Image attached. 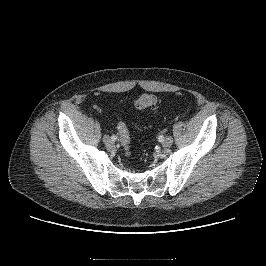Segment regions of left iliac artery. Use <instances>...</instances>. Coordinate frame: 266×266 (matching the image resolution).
Wrapping results in <instances>:
<instances>
[{"label":"left iliac artery","instance_id":"obj_1","mask_svg":"<svg viewBox=\"0 0 266 266\" xmlns=\"http://www.w3.org/2000/svg\"><path fill=\"white\" fill-rule=\"evenodd\" d=\"M156 141H157V143H159V144L162 143V141H163V135H162V134H159V135H158V138H157Z\"/></svg>","mask_w":266,"mask_h":266}]
</instances>
